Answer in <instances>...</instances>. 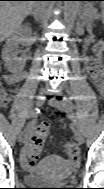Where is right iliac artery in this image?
I'll list each match as a JSON object with an SVG mask.
<instances>
[{"instance_id":"1","label":"right iliac artery","mask_w":104,"mask_h":189,"mask_svg":"<svg viewBox=\"0 0 104 189\" xmlns=\"http://www.w3.org/2000/svg\"><path fill=\"white\" fill-rule=\"evenodd\" d=\"M39 113V109L35 108L33 110H31L30 114H29V118H34L36 117V115ZM26 125H28V122H22L21 125V130H25ZM21 130H18V133H21Z\"/></svg>"}]
</instances>
